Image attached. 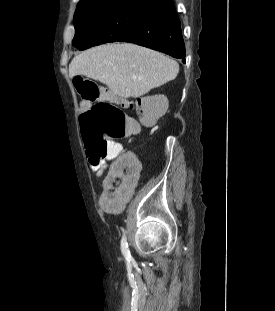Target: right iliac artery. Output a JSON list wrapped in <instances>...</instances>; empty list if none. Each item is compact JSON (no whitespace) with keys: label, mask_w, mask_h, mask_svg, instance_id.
<instances>
[{"label":"right iliac artery","mask_w":275,"mask_h":311,"mask_svg":"<svg viewBox=\"0 0 275 311\" xmlns=\"http://www.w3.org/2000/svg\"><path fill=\"white\" fill-rule=\"evenodd\" d=\"M121 251L123 256L125 257L126 261L130 262L132 257L130 254V250L128 248L127 238H126V231L123 230V236L121 240Z\"/></svg>","instance_id":"right-iliac-artery-1"}]
</instances>
